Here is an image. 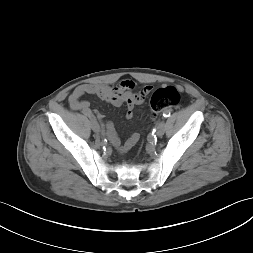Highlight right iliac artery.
I'll list each match as a JSON object with an SVG mask.
<instances>
[{"mask_svg": "<svg viewBox=\"0 0 253 253\" xmlns=\"http://www.w3.org/2000/svg\"><path fill=\"white\" fill-rule=\"evenodd\" d=\"M85 115H87L88 117H90V118H92L93 117V115H92V113L91 112H87Z\"/></svg>", "mask_w": 253, "mask_h": 253, "instance_id": "obj_1", "label": "right iliac artery"}]
</instances>
